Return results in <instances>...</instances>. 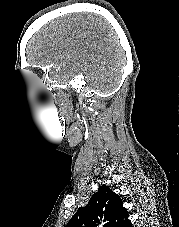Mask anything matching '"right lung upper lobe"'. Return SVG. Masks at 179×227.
<instances>
[{"mask_svg": "<svg viewBox=\"0 0 179 227\" xmlns=\"http://www.w3.org/2000/svg\"><path fill=\"white\" fill-rule=\"evenodd\" d=\"M121 198L106 185L99 187L85 207H80L66 227H132Z\"/></svg>", "mask_w": 179, "mask_h": 227, "instance_id": "obj_1", "label": "right lung upper lobe"}]
</instances>
